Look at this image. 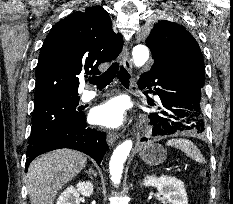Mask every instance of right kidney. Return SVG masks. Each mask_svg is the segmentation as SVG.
I'll return each mask as SVG.
<instances>
[{"instance_id": "obj_1", "label": "right kidney", "mask_w": 233, "mask_h": 204, "mask_svg": "<svg viewBox=\"0 0 233 204\" xmlns=\"http://www.w3.org/2000/svg\"><path fill=\"white\" fill-rule=\"evenodd\" d=\"M93 190V184L90 181L79 182L76 188L74 186L66 188L57 199L56 204H79L80 195L90 197Z\"/></svg>"}]
</instances>
